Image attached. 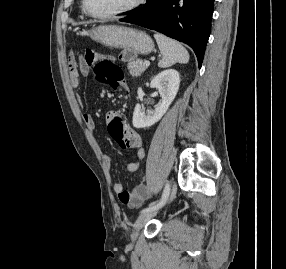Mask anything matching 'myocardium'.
I'll return each mask as SVG.
<instances>
[{
    "instance_id": "f54148a6",
    "label": "myocardium",
    "mask_w": 286,
    "mask_h": 269,
    "mask_svg": "<svg viewBox=\"0 0 286 269\" xmlns=\"http://www.w3.org/2000/svg\"><path fill=\"white\" fill-rule=\"evenodd\" d=\"M146 2V0H133L129 5H127L126 7L107 13V14H95L93 13L89 7H88V0H82V4H83V10L84 12L95 19H111V18H115L130 12H133L134 10L138 9L140 6H142L144 3Z\"/></svg>"
}]
</instances>
